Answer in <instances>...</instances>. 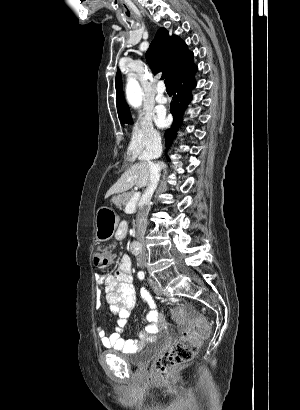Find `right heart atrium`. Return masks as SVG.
I'll use <instances>...</instances> for the list:
<instances>
[{"label":"right heart atrium","mask_w":300,"mask_h":410,"mask_svg":"<svg viewBox=\"0 0 300 410\" xmlns=\"http://www.w3.org/2000/svg\"><path fill=\"white\" fill-rule=\"evenodd\" d=\"M159 143V133L155 129L150 117L139 115L131 128V137L128 154L138 157L142 154L153 152Z\"/></svg>","instance_id":"right-heart-atrium-1"}]
</instances>
